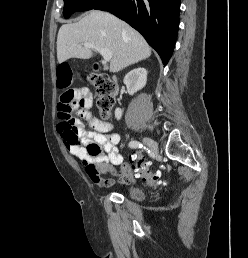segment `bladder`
<instances>
[{"instance_id": "1", "label": "bladder", "mask_w": 248, "mask_h": 258, "mask_svg": "<svg viewBox=\"0 0 248 258\" xmlns=\"http://www.w3.org/2000/svg\"><path fill=\"white\" fill-rule=\"evenodd\" d=\"M127 194L129 195V197L136 201H139L144 197L143 190L135 186L128 188Z\"/></svg>"}]
</instances>
